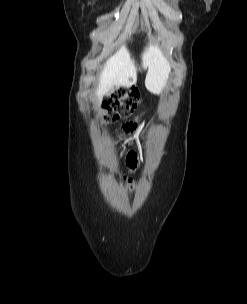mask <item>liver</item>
Here are the masks:
<instances>
[{
    "instance_id": "1",
    "label": "liver",
    "mask_w": 247,
    "mask_h": 304,
    "mask_svg": "<svg viewBox=\"0 0 247 304\" xmlns=\"http://www.w3.org/2000/svg\"><path fill=\"white\" fill-rule=\"evenodd\" d=\"M142 68H147L145 86L151 93L158 94L166 87L171 72L170 63L157 45L149 44L141 56ZM137 66L129 51L122 46L105 63L95 92L98 102L114 87H131L137 82ZM140 70V68H139Z\"/></svg>"
}]
</instances>
